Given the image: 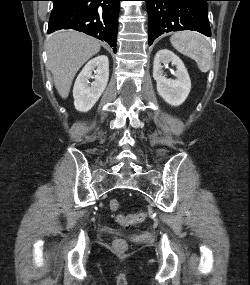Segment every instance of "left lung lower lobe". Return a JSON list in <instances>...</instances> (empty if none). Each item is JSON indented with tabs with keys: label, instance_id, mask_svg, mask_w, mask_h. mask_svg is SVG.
<instances>
[{
	"label": "left lung lower lobe",
	"instance_id": "left-lung-lower-lobe-1",
	"mask_svg": "<svg viewBox=\"0 0 250 285\" xmlns=\"http://www.w3.org/2000/svg\"><path fill=\"white\" fill-rule=\"evenodd\" d=\"M149 16V45L163 33L195 30L208 37L207 1L210 0H143Z\"/></svg>",
	"mask_w": 250,
	"mask_h": 285
}]
</instances>
